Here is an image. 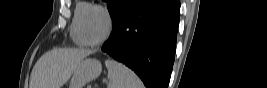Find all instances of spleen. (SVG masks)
Instances as JSON below:
<instances>
[{
	"instance_id": "spleen-1",
	"label": "spleen",
	"mask_w": 267,
	"mask_h": 88,
	"mask_svg": "<svg viewBox=\"0 0 267 88\" xmlns=\"http://www.w3.org/2000/svg\"><path fill=\"white\" fill-rule=\"evenodd\" d=\"M108 69L107 88H144L141 79L131 69L113 59H107Z\"/></svg>"
}]
</instances>
